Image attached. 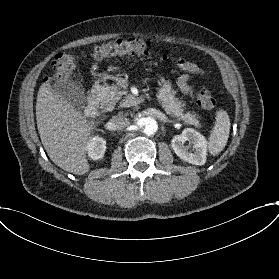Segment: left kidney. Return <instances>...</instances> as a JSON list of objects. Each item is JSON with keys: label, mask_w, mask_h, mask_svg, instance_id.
<instances>
[{"label": "left kidney", "mask_w": 279, "mask_h": 279, "mask_svg": "<svg viewBox=\"0 0 279 279\" xmlns=\"http://www.w3.org/2000/svg\"><path fill=\"white\" fill-rule=\"evenodd\" d=\"M189 141V145L184 143ZM172 148L176 155L182 160L194 164L204 165L207 156V140L206 138L194 130L193 128H186L180 135H175L171 142ZM192 147V151L189 149Z\"/></svg>", "instance_id": "left-kidney-1"}]
</instances>
